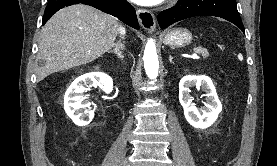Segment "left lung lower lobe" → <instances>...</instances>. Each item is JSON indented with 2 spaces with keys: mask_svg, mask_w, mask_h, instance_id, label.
Here are the masks:
<instances>
[{
  "mask_svg": "<svg viewBox=\"0 0 277 166\" xmlns=\"http://www.w3.org/2000/svg\"><path fill=\"white\" fill-rule=\"evenodd\" d=\"M195 16L224 18L245 33L235 0H179L175 6L158 14V22L165 29L175 22Z\"/></svg>",
  "mask_w": 277,
  "mask_h": 166,
  "instance_id": "1",
  "label": "left lung lower lobe"
}]
</instances>
